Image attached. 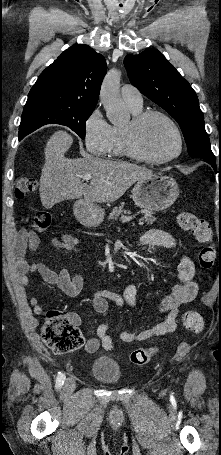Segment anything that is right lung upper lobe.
I'll use <instances>...</instances> for the list:
<instances>
[{"label": "right lung upper lobe", "mask_w": 221, "mask_h": 455, "mask_svg": "<svg viewBox=\"0 0 221 455\" xmlns=\"http://www.w3.org/2000/svg\"><path fill=\"white\" fill-rule=\"evenodd\" d=\"M106 71L101 54L88 45H73L40 74L26 105L96 107Z\"/></svg>", "instance_id": "1"}]
</instances>
